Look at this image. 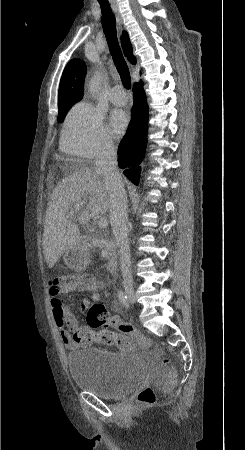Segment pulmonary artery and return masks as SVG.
<instances>
[{
    "label": "pulmonary artery",
    "mask_w": 245,
    "mask_h": 450,
    "mask_svg": "<svg viewBox=\"0 0 245 450\" xmlns=\"http://www.w3.org/2000/svg\"><path fill=\"white\" fill-rule=\"evenodd\" d=\"M110 100L115 105H124L127 101L126 94L120 85H116L111 89Z\"/></svg>",
    "instance_id": "e3ab8cb5"
}]
</instances>
